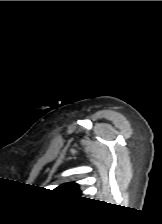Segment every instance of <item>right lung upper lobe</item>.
Returning a JSON list of instances; mask_svg holds the SVG:
<instances>
[{
	"label": "right lung upper lobe",
	"mask_w": 162,
	"mask_h": 224,
	"mask_svg": "<svg viewBox=\"0 0 162 224\" xmlns=\"http://www.w3.org/2000/svg\"><path fill=\"white\" fill-rule=\"evenodd\" d=\"M56 190L66 192V193L72 194L74 196H80V193H81V191L78 188V184L73 183V182L63 184V185L59 186Z\"/></svg>",
	"instance_id": "right-lung-upper-lobe-1"
}]
</instances>
